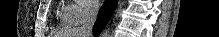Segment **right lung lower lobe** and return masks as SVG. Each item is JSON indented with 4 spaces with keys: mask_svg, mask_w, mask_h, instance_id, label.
<instances>
[{
    "mask_svg": "<svg viewBox=\"0 0 219 37\" xmlns=\"http://www.w3.org/2000/svg\"><path fill=\"white\" fill-rule=\"evenodd\" d=\"M116 3H117V0H114L111 3L108 0L104 2L100 10L99 16L97 18V21L93 27V35L95 37H98L102 29L105 27L106 23L108 22L109 18L111 17L114 11Z\"/></svg>",
    "mask_w": 219,
    "mask_h": 37,
    "instance_id": "98d812e1",
    "label": "right lung lower lobe"
}]
</instances>
